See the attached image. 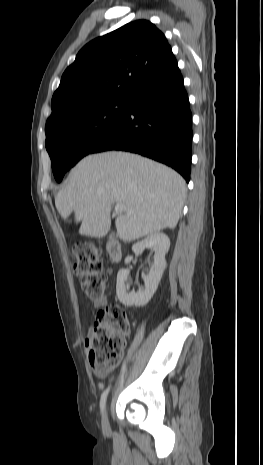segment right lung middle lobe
Segmentation results:
<instances>
[{"label":"right lung middle lobe","mask_w":263,"mask_h":465,"mask_svg":"<svg viewBox=\"0 0 263 465\" xmlns=\"http://www.w3.org/2000/svg\"><path fill=\"white\" fill-rule=\"evenodd\" d=\"M128 106L129 98L100 100L46 123L45 145L57 182L112 132L126 115Z\"/></svg>","instance_id":"1"}]
</instances>
